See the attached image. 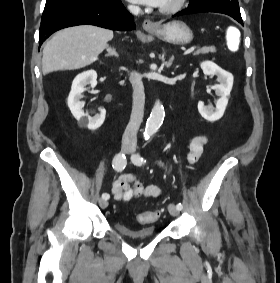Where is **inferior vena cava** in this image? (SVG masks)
Instances as JSON below:
<instances>
[{
    "label": "inferior vena cava",
    "mask_w": 280,
    "mask_h": 283,
    "mask_svg": "<svg viewBox=\"0 0 280 283\" xmlns=\"http://www.w3.org/2000/svg\"><path fill=\"white\" fill-rule=\"evenodd\" d=\"M128 9L134 15L140 13L138 6L130 5ZM130 82L133 87V106L130 121L122 137V144L135 147L137 144V132L144 115L145 94L143 82L137 73L131 74Z\"/></svg>",
    "instance_id": "602c4592"
}]
</instances>
